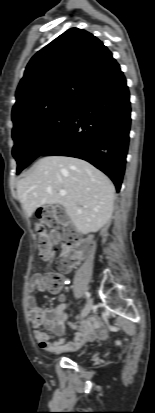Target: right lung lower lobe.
I'll return each mask as SVG.
<instances>
[{"label":"right lung lower lobe","instance_id":"right-lung-lower-lobe-1","mask_svg":"<svg viewBox=\"0 0 155 413\" xmlns=\"http://www.w3.org/2000/svg\"><path fill=\"white\" fill-rule=\"evenodd\" d=\"M130 113L129 90L118 69L75 103L63 133L40 156L84 159L108 175L119 192L129 145Z\"/></svg>","mask_w":155,"mask_h":413}]
</instances>
